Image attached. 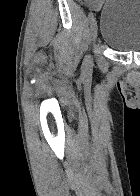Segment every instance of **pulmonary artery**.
I'll return each mask as SVG.
<instances>
[{
    "mask_svg": "<svg viewBox=\"0 0 140 196\" xmlns=\"http://www.w3.org/2000/svg\"><path fill=\"white\" fill-rule=\"evenodd\" d=\"M55 192H68V191H55Z\"/></svg>",
    "mask_w": 140,
    "mask_h": 196,
    "instance_id": "e3ab8cb5",
    "label": "pulmonary artery"
}]
</instances>
